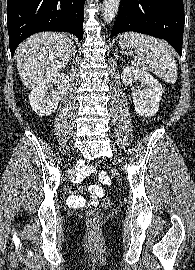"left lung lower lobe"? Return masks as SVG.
Listing matches in <instances>:
<instances>
[{"mask_svg":"<svg viewBox=\"0 0 195 270\" xmlns=\"http://www.w3.org/2000/svg\"><path fill=\"white\" fill-rule=\"evenodd\" d=\"M183 0H121L111 36L134 31L165 39L182 54Z\"/></svg>","mask_w":195,"mask_h":270,"instance_id":"obj_1","label":"left lung lower lobe"}]
</instances>
